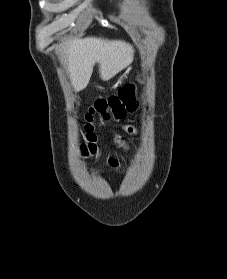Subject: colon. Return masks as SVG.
<instances>
[{"label":"colon","mask_w":227,"mask_h":279,"mask_svg":"<svg viewBox=\"0 0 227 279\" xmlns=\"http://www.w3.org/2000/svg\"><path fill=\"white\" fill-rule=\"evenodd\" d=\"M135 108L136 104L131 99H127L125 104H122L116 97H111L108 100H97L85 114L84 132L86 144L84 145V153L93 155L97 151L98 137L95 122L98 118L106 120L110 115H113L117 119H122L127 113L133 112Z\"/></svg>","instance_id":"5ec220e1"}]
</instances>
